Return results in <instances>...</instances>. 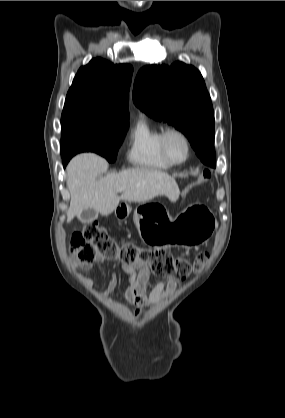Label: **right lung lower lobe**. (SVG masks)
<instances>
[{"label":"right lung lower lobe","instance_id":"98d812e1","mask_svg":"<svg viewBox=\"0 0 285 418\" xmlns=\"http://www.w3.org/2000/svg\"><path fill=\"white\" fill-rule=\"evenodd\" d=\"M71 158H67V159H65V160H63V165H64V167L67 165V163L69 162V160H70Z\"/></svg>","mask_w":285,"mask_h":418}]
</instances>
